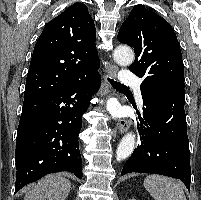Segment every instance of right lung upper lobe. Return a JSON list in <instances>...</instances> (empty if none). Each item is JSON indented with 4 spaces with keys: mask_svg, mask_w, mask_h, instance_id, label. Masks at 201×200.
<instances>
[{
    "mask_svg": "<svg viewBox=\"0 0 201 200\" xmlns=\"http://www.w3.org/2000/svg\"><path fill=\"white\" fill-rule=\"evenodd\" d=\"M99 66L94 21L86 5L75 3L47 23L38 38L24 99L64 89Z\"/></svg>",
    "mask_w": 201,
    "mask_h": 200,
    "instance_id": "cb5924a9",
    "label": "right lung upper lobe"
}]
</instances>
